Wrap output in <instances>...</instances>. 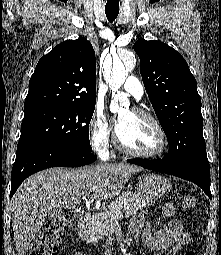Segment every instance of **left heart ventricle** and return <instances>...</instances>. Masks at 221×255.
<instances>
[{
	"label": "left heart ventricle",
	"mask_w": 221,
	"mask_h": 255,
	"mask_svg": "<svg viewBox=\"0 0 221 255\" xmlns=\"http://www.w3.org/2000/svg\"><path fill=\"white\" fill-rule=\"evenodd\" d=\"M118 123L117 133L129 148L149 153L159 147V134L150 121L132 111H125L121 114Z\"/></svg>",
	"instance_id": "left-heart-ventricle-1"
}]
</instances>
